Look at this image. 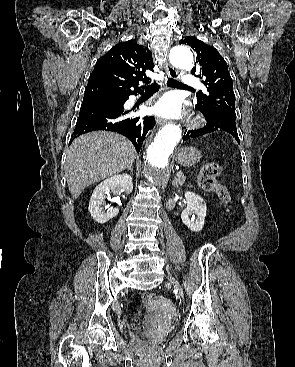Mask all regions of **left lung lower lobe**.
Masks as SVG:
<instances>
[{
  "instance_id": "left-lung-lower-lobe-1",
  "label": "left lung lower lobe",
  "mask_w": 295,
  "mask_h": 367,
  "mask_svg": "<svg viewBox=\"0 0 295 367\" xmlns=\"http://www.w3.org/2000/svg\"><path fill=\"white\" fill-rule=\"evenodd\" d=\"M201 112L206 119V125L203 128H199L197 130L185 132L183 136V141L190 138H196L211 132L224 131L232 135L236 139V141L239 142L235 123L236 117L234 115L229 113H218L209 115L203 111Z\"/></svg>"
}]
</instances>
